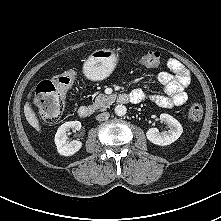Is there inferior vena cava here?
<instances>
[{"label":"inferior vena cava","instance_id":"602c4592","mask_svg":"<svg viewBox=\"0 0 221 221\" xmlns=\"http://www.w3.org/2000/svg\"><path fill=\"white\" fill-rule=\"evenodd\" d=\"M110 114L108 112L100 113L96 116L97 121H105L109 118Z\"/></svg>","mask_w":221,"mask_h":221}]
</instances>
